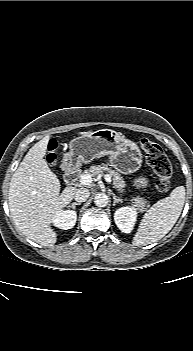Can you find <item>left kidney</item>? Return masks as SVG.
Returning <instances> with one entry per match:
<instances>
[{
  "instance_id": "obj_1",
  "label": "left kidney",
  "mask_w": 193,
  "mask_h": 351,
  "mask_svg": "<svg viewBox=\"0 0 193 351\" xmlns=\"http://www.w3.org/2000/svg\"><path fill=\"white\" fill-rule=\"evenodd\" d=\"M137 209L135 207H121L114 213V221L117 227L124 233H130L137 220Z\"/></svg>"
}]
</instances>
